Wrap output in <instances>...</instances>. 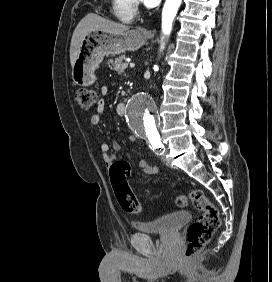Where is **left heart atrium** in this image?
<instances>
[{
    "mask_svg": "<svg viewBox=\"0 0 272 282\" xmlns=\"http://www.w3.org/2000/svg\"><path fill=\"white\" fill-rule=\"evenodd\" d=\"M143 2L147 7H155L159 4L160 0H143Z\"/></svg>",
    "mask_w": 272,
    "mask_h": 282,
    "instance_id": "39dd6f15",
    "label": "left heart atrium"
}]
</instances>
